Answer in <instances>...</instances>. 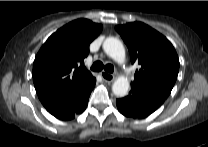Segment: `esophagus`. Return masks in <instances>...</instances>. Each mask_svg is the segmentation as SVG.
Listing matches in <instances>:
<instances>
[{
	"mask_svg": "<svg viewBox=\"0 0 208 147\" xmlns=\"http://www.w3.org/2000/svg\"><path fill=\"white\" fill-rule=\"evenodd\" d=\"M101 76L106 82H113L115 80V76L113 74L107 73L105 71L101 72Z\"/></svg>",
	"mask_w": 208,
	"mask_h": 147,
	"instance_id": "obj_1",
	"label": "esophagus"
}]
</instances>
